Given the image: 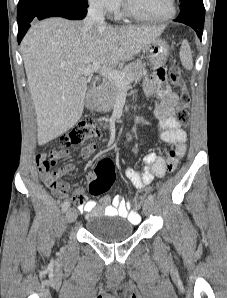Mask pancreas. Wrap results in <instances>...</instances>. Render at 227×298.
<instances>
[{
	"label": "pancreas",
	"mask_w": 227,
	"mask_h": 298,
	"mask_svg": "<svg viewBox=\"0 0 227 298\" xmlns=\"http://www.w3.org/2000/svg\"><path fill=\"white\" fill-rule=\"evenodd\" d=\"M119 71L124 73L126 76L132 75V81L139 82L146 74L145 63H142L140 59H137ZM118 93L119 85L105 78L98 91L100 102L97 107V111L110 112L115 105Z\"/></svg>",
	"instance_id": "1"
}]
</instances>
